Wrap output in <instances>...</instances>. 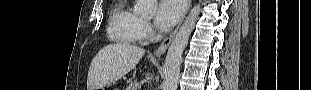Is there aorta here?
I'll return each instance as SVG.
<instances>
[{
  "mask_svg": "<svg viewBox=\"0 0 311 90\" xmlns=\"http://www.w3.org/2000/svg\"><path fill=\"white\" fill-rule=\"evenodd\" d=\"M156 3L157 0H136L135 12L145 18H151ZM200 11L199 4L191 9L169 46L164 64L165 77L161 86L162 90H177L183 51L194 30Z\"/></svg>",
  "mask_w": 311,
  "mask_h": 90,
  "instance_id": "aorta-1",
  "label": "aorta"
}]
</instances>
